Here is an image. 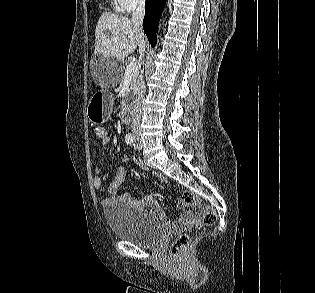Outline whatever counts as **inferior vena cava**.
Listing matches in <instances>:
<instances>
[{"label":"inferior vena cava","mask_w":315,"mask_h":293,"mask_svg":"<svg viewBox=\"0 0 315 293\" xmlns=\"http://www.w3.org/2000/svg\"><path fill=\"white\" fill-rule=\"evenodd\" d=\"M145 14V0H140L136 10L133 12L131 22L133 23L134 28L141 34L142 33V23ZM139 49H140V59L144 56L145 46L143 44L142 37L139 40ZM145 93V83L141 75H138L134 81V101L132 108V133L137 136L140 132V121H141V106Z\"/></svg>","instance_id":"602c4592"}]
</instances>
